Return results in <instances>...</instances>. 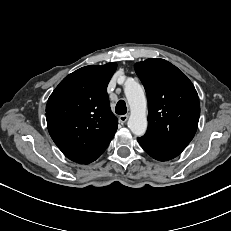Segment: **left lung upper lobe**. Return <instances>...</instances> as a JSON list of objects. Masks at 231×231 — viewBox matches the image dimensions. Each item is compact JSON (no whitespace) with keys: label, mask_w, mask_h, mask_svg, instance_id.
I'll return each instance as SVG.
<instances>
[{"label":"left lung upper lobe","mask_w":231,"mask_h":231,"mask_svg":"<svg viewBox=\"0 0 231 231\" xmlns=\"http://www.w3.org/2000/svg\"><path fill=\"white\" fill-rule=\"evenodd\" d=\"M134 68L148 99L145 135L183 151L195 135L200 116L194 85L176 66L163 59H147Z\"/></svg>","instance_id":"left-lung-upper-lobe-1"}]
</instances>
